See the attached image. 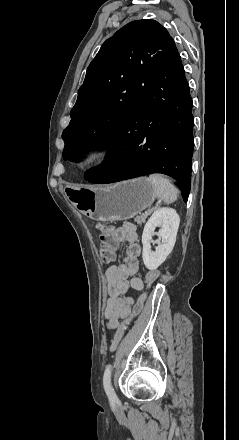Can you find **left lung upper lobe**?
Wrapping results in <instances>:
<instances>
[{"label":"left lung upper lobe","mask_w":239,"mask_h":440,"mask_svg":"<svg viewBox=\"0 0 239 440\" xmlns=\"http://www.w3.org/2000/svg\"><path fill=\"white\" fill-rule=\"evenodd\" d=\"M175 48L168 31L150 19L130 22L107 39L87 69L63 131V158L75 161L91 147H107Z\"/></svg>","instance_id":"1"}]
</instances>
